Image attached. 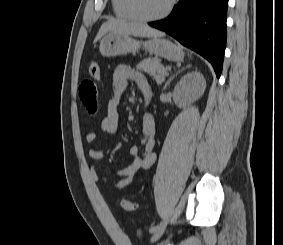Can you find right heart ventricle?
I'll return each instance as SVG.
<instances>
[{
	"label": "right heart ventricle",
	"mask_w": 283,
	"mask_h": 245,
	"mask_svg": "<svg viewBox=\"0 0 283 245\" xmlns=\"http://www.w3.org/2000/svg\"><path fill=\"white\" fill-rule=\"evenodd\" d=\"M114 14L122 19H135L128 10L127 0H112Z\"/></svg>",
	"instance_id": "1"
}]
</instances>
